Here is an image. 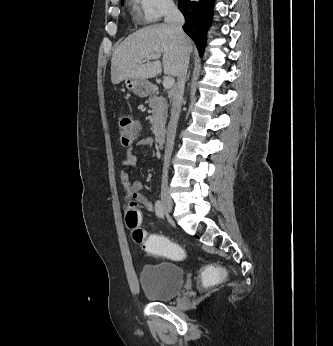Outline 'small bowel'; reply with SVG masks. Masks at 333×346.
<instances>
[{"label":"small bowel","mask_w":333,"mask_h":346,"mask_svg":"<svg viewBox=\"0 0 333 346\" xmlns=\"http://www.w3.org/2000/svg\"><path fill=\"white\" fill-rule=\"evenodd\" d=\"M153 145L152 138H141L137 140V147H147ZM140 158L134 153L133 148L127 151L126 157L123 160V165L132 166L139 162ZM121 182L124 187L127 199H134L139 202L147 211L153 212L155 207L153 203L144 196L141 191L143 188L142 183L139 180L132 179L131 175L127 171L121 173Z\"/></svg>","instance_id":"small-bowel-1"}]
</instances>
